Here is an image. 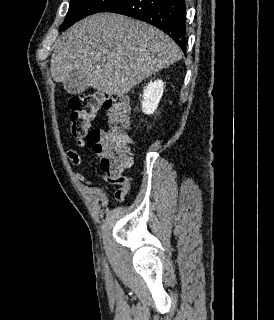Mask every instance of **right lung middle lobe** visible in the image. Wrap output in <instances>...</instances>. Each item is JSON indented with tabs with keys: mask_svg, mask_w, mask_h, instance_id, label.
I'll use <instances>...</instances> for the list:
<instances>
[{
	"mask_svg": "<svg viewBox=\"0 0 274 320\" xmlns=\"http://www.w3.org/2000/svg\"><path fill=\"white\" fill-rule=\"evenodd\" d=\"M116 0H70L69 11L60 30H65L88 15L101 12Z\"/></svg>",
	"mask_w": 274,
	"mask_h": 320,
	"instance_id": "dd1d6c3e",
	"label": "right lung middle lobe"
}]
</instances>
